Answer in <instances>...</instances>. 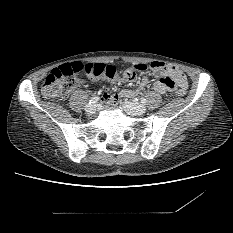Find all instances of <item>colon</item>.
I'll list each match as a JSON object with an SVG mask.
<instances>
[{"label":"colon","instance_id":"1","mask_svg":"<svg viewBox=\"0 0 233 233\" xmlns=\"http://www.w3.org/2000/svg\"><path fill=\"white\" fill-rule=\"evenodd\" d=\"M153 68V64H139L134 68L128 67L121 72L124 80L130 81L135 78L136 71H148ZM86 74L94 78L109 80L117 74V69L113 65L100 63L73 62L52 70L46 77L42 85V95L46 99L66 97L76 85V77ZM164 80H166L164 78ZM186 88L179 89L176 93L183 95Z\"/></svg>","mask_w":233,"mask_h":233}]
</instances>
